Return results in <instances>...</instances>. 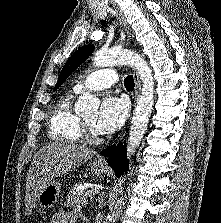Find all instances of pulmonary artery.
Here are the masks:
<instances>
[{
  "label": "pulmonary artery",
  "instance_id": "1",
  "mask_svg": "<svg viewBox=\"0 0 221 223\" xmlns=\"http://www.w3.org/2000/svg\"><path fill=\"white\" fill-rule=\"evenodd\" d=\"M119 80V74L112 69H101L92 72L84 80L77 82L73 90L80 93L83 90H102L111 87Z\"/></svg>",
  "mask_w": 221,
  "mask_h": 223
}]
</instances>
